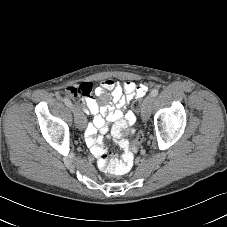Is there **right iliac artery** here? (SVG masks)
I'll return each mask as SVG.
<instances>
[{"instance_id":"obj_1","label":"right iliac artery","mask_w":227,"mask_h":227,"mask_svg":"<svg viewBox=\"0 0 227 227\" xmlns=\"http://www.w3.org/2000/svg\"><path fill=\"white\" fill-rule=\"evenodd\" d=\"M63 101H64V103H65L66 106L72 107V103H71V101H70L68 98L65 97V98L63 99Z\"/></svg>"}]
</instances>
